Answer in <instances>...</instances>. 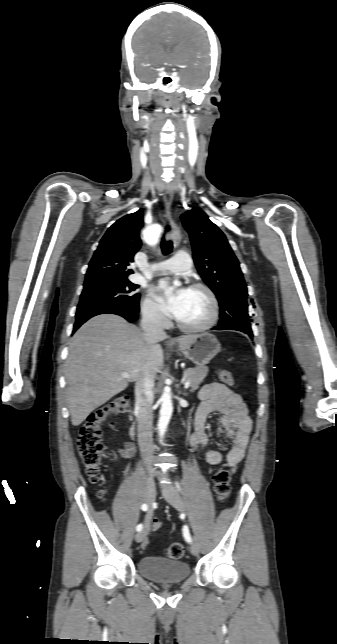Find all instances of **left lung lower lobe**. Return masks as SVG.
Instances as JSON below:
<instances>
[{"mask_svg":"<svg viewBox=\"0 0 337 644\" xmlns=\"http://www.w3.org/2000/svg\"><path fill=\"white\" fill-rule=\"evenodd\" d=\"M229 328L214 327L212 330H228ZM252 338V336H250Z\"/></svg>","mask_w":337,"mask_h":644,"instance_id":"obj_1","label":"left lung lower lobe"}]
</instances>
